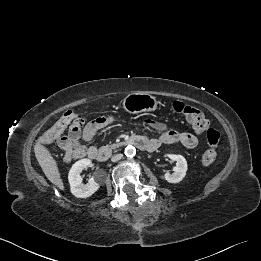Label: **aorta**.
<instances>
[{
    "label": "aorta",
    "instance_id": "aorta-1",
    "mask_svg": "<svg viewBox=\"0 0 261 261\" xmlns=\"http://www.w3.org/2000/svg\"><path fill=\"white\" fill-rule=\"evenodd\" d=\"M124 153L127 157H134L135 154H136V149L134 146L132 145H128L125 150H124Z\"/></svg>",
    "mask_w": 261,
    "mask_h": 261
}]
</instances>
